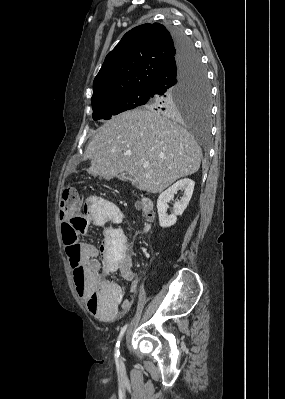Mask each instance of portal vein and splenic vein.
Returning <instances> with one entry per match:
<instances>
[{
  "label": "portal vein and splenic vein",
  "mask_w": 285,
  "mask_h": 399,
  "mask_svg": "<svg viewBox=\"0 0 285 399\" xmlns=\"http://www.w3.org/2000/svg\"><path fill=\"white\" fill-rule=\"evenodd\" d=\"M143 167H144V168H148V167H149V164H148V163H144V164H143Z\"/></svg>",
  "instance_id": "obj_1"
}]
</instances>
